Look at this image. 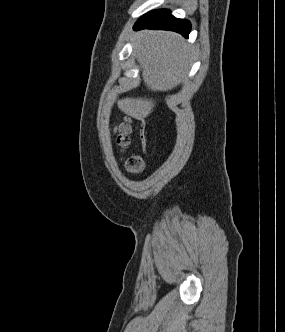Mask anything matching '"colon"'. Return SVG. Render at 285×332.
Masks as SVG:
<instances>
[{
	"label": "colon",
	"mask_w": 285,
	"mask_h": 332,
	"mask_svg": "<svg viewBox=\"0 0 285 332\" xmlns=\"http://www.w3.org/2000/svg\"><path fill=\"white\" fill-rule=\"evenodd\" d=\"M131 119L125 118L114 125L116 132V143L121 149H125L130 144L132 132ZM125 167L128 172L138 174L144 169V161L140 156H131L126 160Z\"/></svg>",
	"instance_id": "colon-1"
}]
</instances>
